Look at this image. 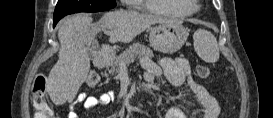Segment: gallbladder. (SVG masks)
Wrapping results in <instances>:
<instances>
[{"instance_id":"obj_1","label":"gallbladder","mask_w":273,"mask_h":118,"mask_svg":"<svg viewBox=\"0 0 273 118\" xmlns=\"http://www.w3.org/2000/svg\"><path fill=\"white\" fill-rule=\"evenodd\" d=\"M88 53H89V56L94 55V50L92 48H90V46H89V49H88Z\"/></svg>"}]
</instances>
